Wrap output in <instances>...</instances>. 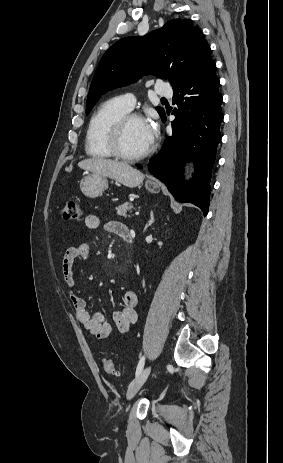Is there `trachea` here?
I'll list each match as a JSON object with an SVG mask.
<instances>
[{"label":"trachea","instance_id":"trachea-1","mask_svg":"<svg viewBox=\"0 0 283 463\" xmlns=\"http://www.w3.org/2000/svg\"><path fill=\"white\" fill-rule=\"evenodd\" d=\"M162 100H163V101H166V99H165V98H162Z\"/></svg>","mask_w":283,"mask_h":463}]
</instances>
